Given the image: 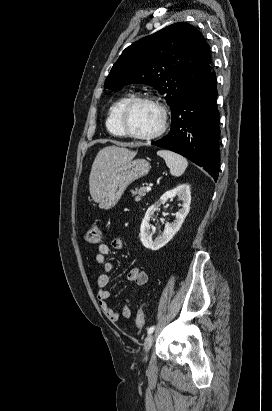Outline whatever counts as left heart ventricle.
Wrapping results in <instances>:
<instances>
[{
  "mask_svg": "<svg viewBox=\"0 0 272 411\" xmlns=\"http://www.w3.org/2000/svg\"><path fill=\"white\" fill-rule=\"evenodd\" d=\"M160 121L159 110L154 105L143 102L133 105L126 116L128 130L138 135L153 133Z\"/></svg>",
  "mask_w": 272,
  "mask_h": 411,
  "instance_id": "left-heart-ventricle-1",
  "label": "left heart ventricle"
}]
</instances>
